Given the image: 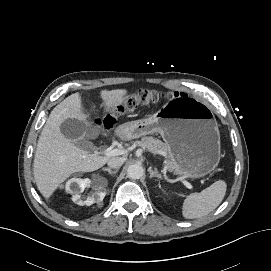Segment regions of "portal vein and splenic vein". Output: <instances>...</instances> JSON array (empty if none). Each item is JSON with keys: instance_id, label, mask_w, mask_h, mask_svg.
<instances>
[{"instance_id": "1", "label": "portal vein and splenic vein", "mask_w": 271, "mask_h": 271, "mask_svg": "<svg viewBox=\"0 0 271 271\" xmlns=\"http://www.w3.org/2000/svg\"><path fill=\"white\" fill-rule=\"evenodd\" d=\"M127 153V150H123V149H118V148H115V149H112L111 147L107 148L105 151H104V155L105 156H118V155H123V154H126ZM182 183L189 189H193V186L186 180H181Z\"/></svg>"}]
</instances>
